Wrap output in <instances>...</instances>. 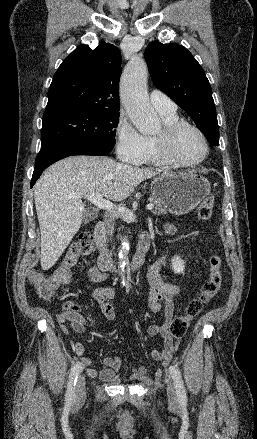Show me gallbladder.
Here are the masks:
<instances>
[{
  "label": "gallbladder",
  "instance_id": "obj_1",
  "mask_svg": "<svg viewBox=\"0 0 257 439\" xmlns=\"http://www.w3.org/2000/svg\"><path fill=\"white\" fill-rule=\"evenodd\" d=\"M93 219V217L89 214V212H85L83 215L84 222H89Z\"/></svg>",
  "mask_w": 257,
  "mask_h": 439
}]
</instances>
